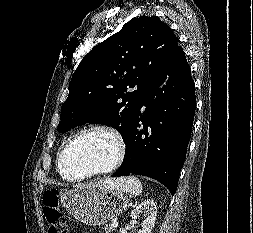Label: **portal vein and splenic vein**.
Masks as SVG:
<instances>
[{
	"label": "portal vein and splenic vein",
	"mask_w": 253,
	"mask_h": 233,
	"mask_svg": "<svg viewBox=\"0 0 253 233\" xmlns=\"http://www.w3.org/2000/svg\"><path fill=\"white\" fill-rule=\"evenodd\" d=\"M118 226V222L117 221H113L112 222V227H117Z\"/></svg>",
	"instance_id": "portal-vein-and-splenic-vein-1"
}]
</instances>
